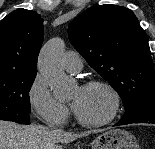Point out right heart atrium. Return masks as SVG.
Here are the masks:
<instances>
[{
  "label": "right heart atrium",
  "instance_id": "right-heart-atrium-1",
  "mask_svg": "<svg viewBox=\"0 0 155 149\" xmlns=\"http://www.w3.org/2000/svg\"><path fill=\"white\" fill-rule=\"evenodd\" d=\"M28 98L32 109L42 121L54 126L66 124L69 117L68 108L53 96L41 75H37L32 81Z\"/></svg>",
  "mask_w": 155,
  "mask_h": 149
}]
</instances>
